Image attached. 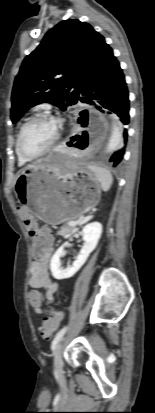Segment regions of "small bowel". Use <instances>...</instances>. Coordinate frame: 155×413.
<instances>
[{
    "instance_id": "1",
    "label": "small bowel",
    "mask_w": 155,
    "mask_h": 413,
    "mask_svg": "<svg viewBox=\"0 0 155 413\" xmlns=\"http://www.w3.org/2000/svg\"><path fill=\"white\" fill-rule=\"evenodd\" d=\"M17 212L22 217V227H25L26 231H38V233L44 236L47 239V249L49 251L45 254L43 259L38 261H33L30 266V277H29V286L32 290L29 293V299L31 294H37L40 299V289H44L46 292V298L49 301L54 300V296L58 291V283L49 277L48 274V265L50 260V249L53 246V236L48 228H44L43 222L37 221V218H30L32 216V211L28 209L26 205H19L17 207ZM31 303V301H30ZM34 310L36 313H41V300L39 304L33 305Z\"/></svg>"
}]
</instances>
